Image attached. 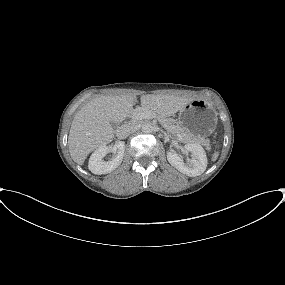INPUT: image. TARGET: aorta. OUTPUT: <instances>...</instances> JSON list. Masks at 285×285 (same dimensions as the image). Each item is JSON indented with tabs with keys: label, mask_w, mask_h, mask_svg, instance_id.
<instances>
[{
	"label": "aorta",
	"mask_w": 285,
	"mask_h": 285,
	"mask_svg": "<svg viewBox=\"0 0 285 285\" xmlns=\"http://www.w3.org/2000/svg\"><path fill=\"white\" fill-rule=\"evenodd\" d=\"M141 130L143 133H146V134L152 133L153 132V126L151 123L146 122V123L142 124Z\"/></svg>",
	"instance_id": "aorta-1"
}]
</instances>
